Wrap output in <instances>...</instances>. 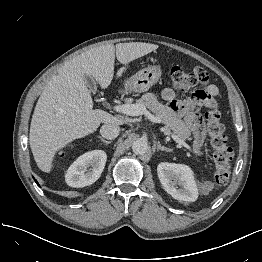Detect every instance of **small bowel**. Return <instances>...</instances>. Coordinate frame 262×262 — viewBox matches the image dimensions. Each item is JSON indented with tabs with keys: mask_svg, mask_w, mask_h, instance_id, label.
I'll return each instance as SVG.
<instances>
[{
	"mask_svg": "<svg viewBox=\"0 0 262 262\" xmlns=\"http://www.w3.org/2000/svg\"><path fill=\"white\" fill-rule=\"evenodd\" d=\"M197 70L195 69V71ZM203 81L205 83L204 91L189 97L186 102L179 101L174 90L170 88H166L162 92V98L172 109L174 115L184 118L192 132V140L196 148L201 147L205 136V125L198 115L197 109L216 107L215 96L219 92V88L215 84L208 83L207 78Z\"/></svg>",
	"mask_w": 262,
	"mask_h": 262,
	"instance_id": "c3829d8e",
	"label": "small bowel"
}]
</instances>
